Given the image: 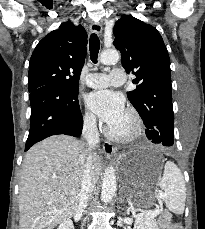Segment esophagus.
Listing matches in <instances>:
<instances>
[{
  "label": "esophagus",
  "mask_w": 205,
  "mask_h": 229,
  "mask_svg": "<svg viewBox=\"0 0 205 229\" xmlns=\"http://www.w3.org/2000/svg\"><path fill=\"white\" fill-rule=\"evenodd\" d=\"M90 30L92 33L97 34L98 36L101 35L102 33V25L100 22H92L90 25ZM103 151L105 153V155L107 156V158H111L116 151V148L113 146L112 143H110L109 141H104L103 143Z\"/></svg>",
  "instance_id": "esophagus-1"
}]
</instances>
